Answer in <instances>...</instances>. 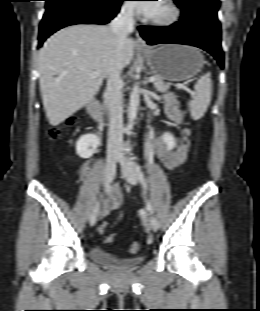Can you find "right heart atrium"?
<instances>
[{
	"instance_id": "1",
	"label": "right heart atrium",
	"mask_w": 260,
	"mask_h": 311,
	"mask_svg": "<svg viewBox=\"0 0 260 311\" xmlns=\"http://www.w3.org/2000/svg\"><path fill=\"white\" fill-rule=\"evenodd\" d=\"M121 12L128 17H134V15H135V11H134L133 7L131 5H128V4H126L122 7Z\"/></svg>"
}]
</instances>
